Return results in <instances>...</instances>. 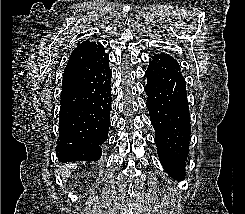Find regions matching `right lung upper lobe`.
Returning a JSON list of instances; mask_svg holds the SVG:
<instances>
[{
  "instance_id": "cb5924a9",
  "label": "right lung upper lobe",
  "mask_w": 245,
  "mask_h": 214,
  "mask_svg": "<svg viewBox=\"0 0 245 214\" xmlns=\"http://www.w3.org/2000/svg\"><path fill=\"white\" fill-rule=\"evenodd\" d=\"M78 55L77 71L82 86L92 84L101 72L104 62L107 60L101 43L84 41L71 54Z\"/></svg>"
}]
</instances>
